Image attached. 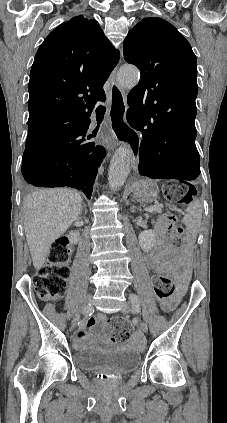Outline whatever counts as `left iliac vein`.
I'll use <instances>...</instances> for the list:
<instances>
[{
  "mask_svg": "<svg viewBox=\"0 0 227 423\" xmlns=\"http://www.w3.org/2000/svg\"><path fill=\"white\" fill-rule=\"evenodd\" d=\"M133 307H135V305H134ZM129 311H130V304H129V303H127V302H125V303L123 304V306H122V312H123V313H128ZM139 327H140V329H141L144 333H146V332L148 331V326H147V324H146L144 321H142V320H140V321H139Z\"/></svg>",
  "mask_w": 227,
  "mask_h": 423,
  "instance_id": "obj_1",
  "label": "left iliac vein"
}]
</instances>
